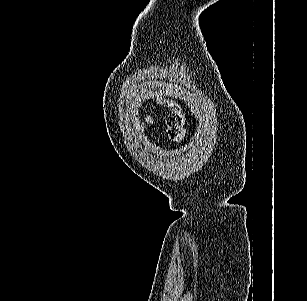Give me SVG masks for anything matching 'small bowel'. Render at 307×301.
<instances>
[{"mask_svg":"<svg viewBox=\"0 0 307 301\" xmlns=\"http://www.w3.org/2000/svg\"><path fill=\"white\" fill-rule=\"evenodd\" d=\"M146 124L147 125H154V120H153V118L152 117H150V116H148L147 118H146Z\"/></svg>","mask_w":307,"mask_h":301,"instance_id":"obj_1","label":"small bowel"}]
</instances>
